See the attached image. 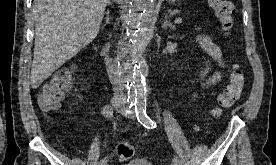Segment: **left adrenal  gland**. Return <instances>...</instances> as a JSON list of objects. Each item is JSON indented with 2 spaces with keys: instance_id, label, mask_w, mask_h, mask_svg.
Returning <instances> with one entry per match:
<instances>
[{
  "instance_id": "a2214340",
  "label": "left adrenal gland",
  "mask_w": 276,
  "mask_h": 165,
  "mask_svg": "<svg viewBox=\"0 0 276 165\" xmlns=\"http://www.w3.org/2000/svg\"><path fill=\"white\" fill-rule=\"evenodd\" d=\"M171 28L173 30H175V26L168 20V16L165 14L164 15V22L162 24V28Z\"/></svg>"
}]
</instances>
